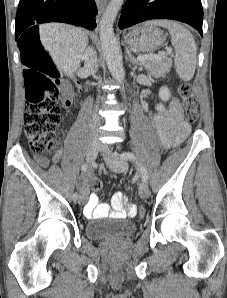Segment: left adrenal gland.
I'll return each instance as SVG.
<instances>
[{
	"label": "left adrenal gland",
	"instance_id": "obj_1",
	"mask_svg": "<svg viewBox=\"0 0 227 298\" xmlns=\"http://www.w3.org/2000/svg\"><path fill=\"white\" fill-rule=\"evenodd\" d=\"M126 53L128 55L130 63H132L136 67L141 66V63L131 54V52L128 49H126Z\"/></svg>",
	"mask_w": 227,
	"mask_h": 298
}]
</instances>
